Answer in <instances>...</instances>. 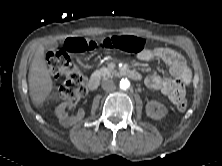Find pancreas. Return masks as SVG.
<instances>
[{"mask_svg":"<svg viewBox=\"0 0 222 166\" xmlns=\"http://www.w3.org/2000/svg\"><path fill=\"white\" fill-rule=\"evenodd\" d=\"M96 73L103 78H108L113 75L115 71L106 67H102L101 69L97 70Z\"/></svg>","mask_w":222,"mask_h":166,"instance_id":"obj_1","label":"pancreas"}]
</instances>
